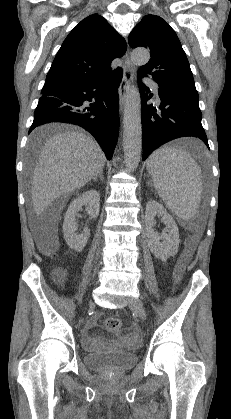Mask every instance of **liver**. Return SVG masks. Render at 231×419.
Segmentation results:
<instances>
[{
  "label": "liver",
  "mask_w": 231,
  "mask_h": 419,
  "mask_svg": "<svg viewBox=\"0 0 231 419\" xmlns=\"http://www.w3.org/2000/svg\"><path fill=\"white\" fill-rule=\"evenodd\" d=\"M49 126L35 129L33 141H40ZM34 148V147H33ZM106 157L98 143L78 131H65L50 138L42 147L34 168L31 197L37 215L58 197L82 188L103 170ZM55 245L57 236L54 235Z\"/></svg>",
  "instance_id": "obj_1"
}]
</instances>
